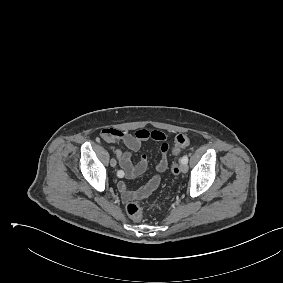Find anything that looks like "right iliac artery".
Here are the masks:
<instances>
[{"instance_id": "right-iliac-artery-1", "label": "right iliac artery", "mask_w": 283, "mask_h": 283, "mask_svg": "<svg viewBox=\"0 0 283 283\" xmlns=\"http://www.w3.org/2000/svg\"><path fill=\"white\" fill-rule=\"evenodd\" d=\"M121 174H123V172L119 170V171L117 172L118 177H120Z\"/></svg>"}]
</instances>
